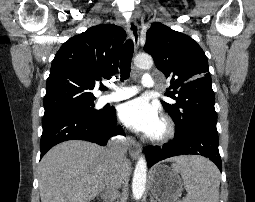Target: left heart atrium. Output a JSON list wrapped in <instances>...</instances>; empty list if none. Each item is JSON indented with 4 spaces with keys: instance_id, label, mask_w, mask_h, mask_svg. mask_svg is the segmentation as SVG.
Wrapping results in <instances>:
<instances>
[{
    "instance_id": "39dd6f15",
    "label": "left heart atrium",
    "mask_w": 255,
    "mask_h": 202,
    "mask_svg": "<svg viewBox=\"0 0 255 202\" xmlns=\"http://www.w3.org/2000/svg\"><path fill=\"white\" fill-rule=\"evenodd\" d=\"M119 118L126 126L147 135H152L161 121L158 108L143 98L121 105Z\"/></svg>"
}]
</instances>
